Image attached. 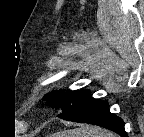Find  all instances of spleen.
Listing matches in <instances>:
<instances>
[{"label": "spleen", "instance_id": "1", "mask_svg": "<svg viewBox=\"0 0 144 137\" xmlns=\"http://www.w3.org/2000/svg\"><path fill=\"white\" fill-rule=\"evenodd\" d=\"M56 137H115V135L100 127L82 125L79 128L58 133Z\"/></svg>", "mask_w": 144, "mask_h": 137}]
</instances>
